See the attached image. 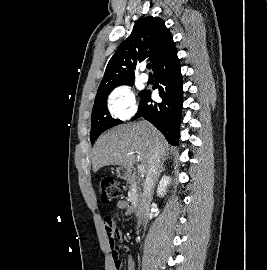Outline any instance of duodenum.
<instances>
[{
	"label": "duodenum",
	"mask_w": 267,
	"mask_h": 270,
	"mask_svg": "<svg viewBox=\"0 0 267 270\" xmlns=\"http://www.w3.org/2000/svg\"><path fill=\"white\" fill-rule=\"evenodd\" d=\"M126 175L130 180H135L137 178L135 171L132 169L127 170ZM135 209L140 219H145L148 216V213H146L143 203H137Z\"/></svg>",
	"instance_id": "1"
}]
</instances>
